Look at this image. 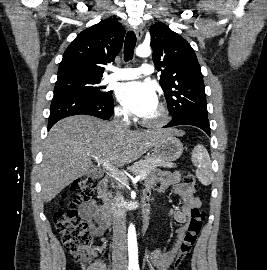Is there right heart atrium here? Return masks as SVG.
<instances>
[{"label":"right heart atrium","instance_id":"d8ad5b80","mask_svg":"<svg viewBox=\"0 0 267 270\" xmlns=\"http://www.w3.org/2000/svg\"><path fill=\"white\" fill-rule=\"evenodd\" d=\"M116 114L121 117L122 119L124 120H127L129 115H128V112L125 111L124 109H122L121 107H117L116 108Z\"/></svg>","mask_w":267,"mask_h":270}]
</instances>
